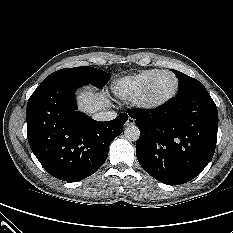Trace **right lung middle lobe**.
Instances as JSON below:
<instances>
[{"instance_id": "obj_1", "label": "right lung middle lobe", "mask_w": 233, "mask_h": 233, "mask_svg": "<svg viewBox=\"0 0 233 233\" xmlns=\"http://www.w3.org/2000/svg\"><path fill=\"white\" fill-rule=\"evenodd\" d=\"M64 79L80 81L82 83L91 84L99 89H102L110 79V75L105 71L88 66L61 69L46 77L37 89Z\"/></svg>"}]
</instances>
